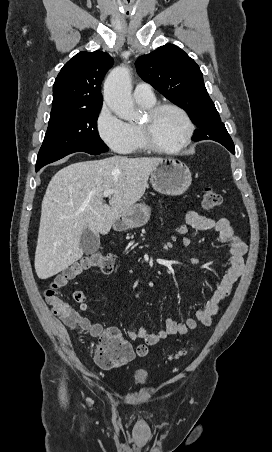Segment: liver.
I'll return each mask as SVG.
<instances>
[{
    "label": "liver",
    "instance_id": "liver-1",
    "mask_svg": "<svg viewBox=\"0 0 272 452\" xmlns=\"http://www.w3.org/2000/svg\"><path fill=\"white\" fill-rule=\"evenodd\" d=\"M154 157L113 156L82 161L59 170L48 184L42 201L35 252L40 279L50 278L78 261L80 238L88 227L97 236L141 199L148 186ZM112 190L109 205L103 192Z\"/></svg>",
    "mask_w": 272,
    "mask_h": 452
}]
</instances>
